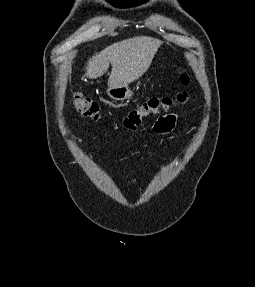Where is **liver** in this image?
Here are the masks:
<instances>
[{
	"label": "liver",
	"mask_w": 255,
	"mask_h": 287,
	"mask_svg": "<svg viewBox=\"0 0 255 287\" xmlns=\"http://www.w3.org/2000/svg\"><path fill=\"white\" fill-rule=\"evenodd\" d=\"M162 44L161 40H155L149 36H138V38H129V40L112 44L90 58L85 76L89 80L100 78L111 64L112 70L108 78L109 88L131 84L147 72Z\"/></svg>",
	"instance_id": "1"
}]
</instances>
